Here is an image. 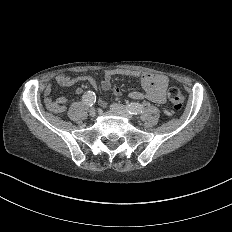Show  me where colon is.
Returning a JSON list of instances; mask_svg holds the SVG:
<instances>
[{"instance_id": "1", "label": "colon", "mask_w": 232, "mask_h": 232, "mask_svg": "<svg viewBox=\"0 0 232 232\" xmlns=\"http://www.w3.org/2000/svg\"><path fill=\"white\" fill-rule=\"evenodd\" d=\"M166 97L169 102H165V107H183V94L179 92L178 86H171L166 92ZM47 108L53 113H67L64 98L59 96H48Z\"/></svg>"}]
</instances>
